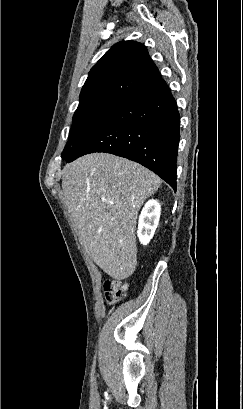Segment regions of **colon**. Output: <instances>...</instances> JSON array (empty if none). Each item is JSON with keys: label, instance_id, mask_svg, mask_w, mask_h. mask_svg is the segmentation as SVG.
Wrapping results in <instances>:
<instances>
[{"label": "colon", "instance_id": "1", "mask_svg": "<svg viewBox=\"0 0 243 409\" xmlns=\"http://www.w3.org/2000/svg\"><path fill=\"white\" fill-rule=\"evenodd\" d=\"M127 287L118 281H107L104 285L105 299L109 304L119 302L124 296Z\"/></svg>", "mask_w": 243, "mask_h": 409}]
</instances>
